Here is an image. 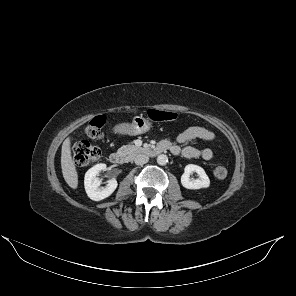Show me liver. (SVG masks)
<instances>
[{
	"instance_id": "obj_1",
	"label": "liver",
	"mask_w": 296,
	"mask_h": 296,
	"mask_svg": "<svg viewBox=\"0 0 296 296\" xmlns=\"http://www.w3.org/2000/svg\"><path fill=\"white\" fill-rule=\"evenodd\" d=\"M61 168L66 183L73 189L78 187V173L71 155V140L66 138L62 144Z\"/></svg>"
}]
</instances>
